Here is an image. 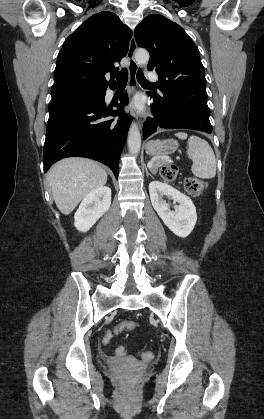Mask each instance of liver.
Instances as JSON below:
<instances>
[{"label": "liver", "instance_id": "1", "mask_svg": "<svg viewBox=\"0 0 264 419\" xmlns=\"http://www.w3.org/2000/svg\"><path fill=\"white\" fill-rule=\"evenodd\" d=\"M107 172L87 158H66L54 164L47 178L61 213L70 214L91 191L107 182Z\"/></svg>", "mask_w": 264, "mask_h": 419}]
</instances>
